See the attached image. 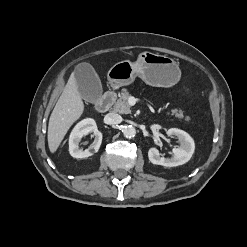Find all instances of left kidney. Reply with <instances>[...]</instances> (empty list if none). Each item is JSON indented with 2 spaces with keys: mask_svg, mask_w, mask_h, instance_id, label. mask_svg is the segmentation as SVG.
Masks as SVG:
<instances>
[{
  "mask_svg": "<svg viewBox=\"0 0 247 247\" xmlns=\"http://www.w3.org/2000/svg\"><path fill=\"white\" fill-rule=\"evenodd\" d=\"M167 135L176 136L181 145L179 147L173 148L172 158L161 157L157 148L151 147L148 151L150 162L165 167H174L187 163L195 150V143L193 138L187 132L177 128L169 129L167 131Z\"/></svg>",
  "mask_w": 247,
  "mask_h": 247,
  "instance_id": "obj_1",
  "label": "left kidney"
}]
</instances>
